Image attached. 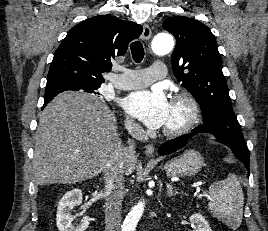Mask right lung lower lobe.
Instances as JSON below:
<instances>
[{"label":"right lung lower lobe","instance_id":"98d812e1","mask_svg":"<svg viewBox=\"0 0 268 231\" xmlns=\"http://www.w3.org/2000/svg\"><path fill=\"white\" fill-rule=\"evenodd\" d=\"M47 104H48V103H47ZM47 104L44 103V106L42 107V109H43Z\"/></svg>","mask_w":268,"mask_h":231}]
</instances>
